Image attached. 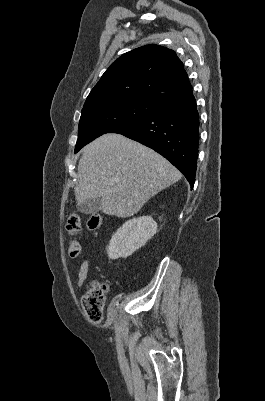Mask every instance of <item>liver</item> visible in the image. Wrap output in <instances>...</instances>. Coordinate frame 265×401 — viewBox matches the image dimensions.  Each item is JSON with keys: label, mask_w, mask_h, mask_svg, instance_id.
Listing matches in <instances>:
<instances>
[{"label": "liver", "mask_w": 265, "mask_h": 401, "mask_svg": "<svg viewBox=\"0 0 265 401\" xmlns=\"http://www.w3.org/2000/svg\"><path fill=\"white\" fill-rule=\"evenodd\" d=\"M181 176L158 152L122 134L108 132L84 146L75 198L77 203H84L102 196L103 213L125 219Z\"/></svg>", "instance_id": "1"}]
</instances>
